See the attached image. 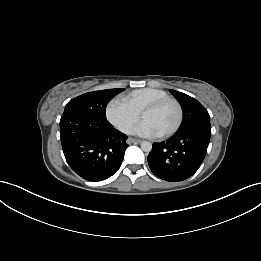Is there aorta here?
<instances>
[{"instance_id": "aorta-1", "label": "aorta", "mask_w": 261, "mask_h": 261, "mask_svg": "<svg viewBox=\"0 0 261 261\" xmlns=\"http://www.w3.org/2000/svg\"><path fill=\"white\" fill-rule=\"evenodd\" d=\"M141 149L144 152H150L152 150V144L149 141H143L141 143Z\"/></svg>"}]
</instances>
